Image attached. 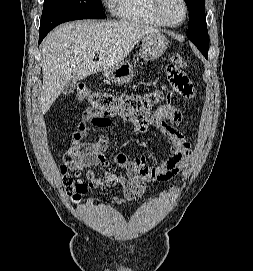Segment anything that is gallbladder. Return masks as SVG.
Segmentation results:
<instances>
[{
	"instance_id": "bac80fb5",
	"label": "gallbladder",
	"mask_w": 253,
	"mask_h": 271,
	"mask_svg": "<svg viewBox=\"0 0 253 271\" xmlns=\"http://www.w3.org/2000/svg\"><path fill=\"white\" fill-rule=\"evenodd\" d=\"M74 89H75V85L73 83H69L64 87L62 94L67 96V95L73 93Z\"/></svg>"
}]
</instances>
